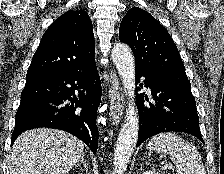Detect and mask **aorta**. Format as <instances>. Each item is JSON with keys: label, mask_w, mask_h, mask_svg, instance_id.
Returning a JSON list of instances; mask_svg holds the SVG:
<instances>
[{"label": "aorta", "mask_w": 224, "mask_h": 174, "mask_svg": "<svg viewBox=\"0 0 224 174\" xmlns=\"http://www.w3.org/2000/svg\"><path fill=\"white\" fill-rule=\"evenodd\" d=\"M112 60L129 96L125 122L121 127L114 151V174H123L138 139L139 120L135 104V63L134 57L125 44L117 43L112 49Z\"/></svg>", "instance_id": "aorta-1"}]
</instances>
